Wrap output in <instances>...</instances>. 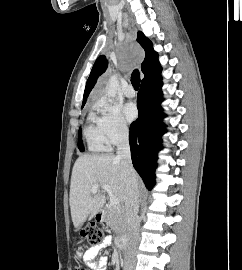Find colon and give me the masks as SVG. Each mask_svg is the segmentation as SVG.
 Segmentation results:
<instances>
[{
  "label": "colon",
  "instance_id": "5ec220e1",
  "mask_svg": "<svg viewBox=\"0 0 242 270\" xmlns=\"http://www.w3.org/2000/svg\"><path fill=\"white\" fill-rule=\"evenodd\" d=\"M103 236V230L96 225H90L81 232L80 244L83 246L96 245L100 243ZM76 270H88L84 266L77 267Z\"/></svg>",
  "mask_w": 242,
  "mask_h": 270
}]
</instances>
